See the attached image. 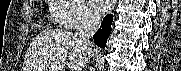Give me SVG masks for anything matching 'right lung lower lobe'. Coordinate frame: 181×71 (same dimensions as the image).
Here are the masks:
<instances>
[{
  "mask_svg": "<svg viewBox=\"0 0 181 71\" xmlns=\"http://www.w3.org/2000/svg\"><path fill=\"white\" fill-rule=\"evenodd\" d=\"M112 20L113 15H106L101 23L100 29H98L93 36L94 43L101 48H105L106 46L107 38L111 30Z\"/></svg>",
  "mask_w": 181,
  "mask_h": 71,
  "instance_id": "obj_1",
  "label": "right lung lower lobe"
}]
</instances>
